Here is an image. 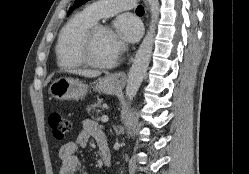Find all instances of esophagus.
Segmentation results:
<instances>
[{
	"label": "esophagus",
	"instance_id": "obj_1",
	"mask_svg": "<svg viewBox=\"0 0 249 174\" xmlns=\"http://www.w3.org/2000/svg\"><path fill=\"white\" fill-rule=\"evenodd\" d=\"M143 1H144L145 5H146V11H147L148 10L147 1L146 0H143ZM111 78L118 85H124L126 83V80H127L126 73L123 72V71L113 73Z\"/></svg>",
	"mask_w": 249,
	"mask_h": 174
}]
</instances>
